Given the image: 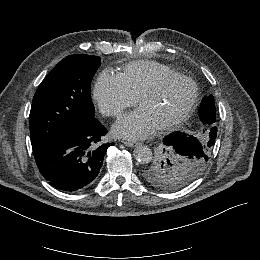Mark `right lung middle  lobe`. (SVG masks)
I'll use <instances>...</instances> for the list:
<instances>
[{"label": "right lung middle lobe", "instance_id": "dd1d6c3e", "mask_svg": "<svg viewBox=\"0 0 260 260\" xmlns=\"http://www.w3.org/2000/svg\"><path fill=\"white\" fill-rule=\"evenodd\" d=\"M100 64L99 56L70 55L45 77L30 111L33 151L75 134L95 118L90 86Z\"/></svg>", "mask_w": 260, "mask_h": 260}]
</instances>
